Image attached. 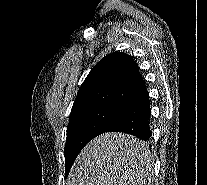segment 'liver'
Masks as SVG:
<instances>
[{
  "label": "liver",
  "instance_id": "obj_1",
  "mask_svg": "<svg viewBox=\"0 0 207 185\" xmlns=\"http://www.w3.org/2000/svg\"><path fill=\"white\" fill-rule=\"evenodd\" d=\"M151 165L144 141L126 133H103L79 153L66 185H150Z\"/></svg>",
  "mask_w": 207,
  "mask_h": 185
}]
</instances>
